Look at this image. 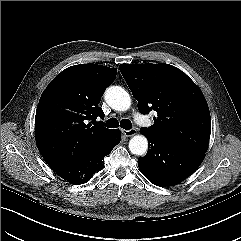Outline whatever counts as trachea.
<instances>
[{
    "label": "trachea",
    "mask_w": 241,
    "mask_h": 241,
    "mask_svg": "<svg viewBox=\"0 0 241 241\" xmlns=\"http://www.w3.org/2000/svg\"><path fill=\"white\" fill-rule=\"evenodd\" d=\"M131 121L129 119H122L120 121V126L123 128V129H126V130H129L131 128ZM106 126L108 128H117L119 127V122L116 118H110L107 123H106Z\"/></svg>",
    "instance_id": "obj_1"
}]
</instances>
